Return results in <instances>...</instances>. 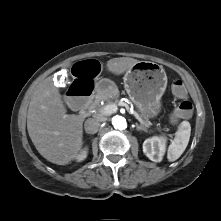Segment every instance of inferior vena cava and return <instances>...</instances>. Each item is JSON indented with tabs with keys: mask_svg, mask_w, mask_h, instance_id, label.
Returning <instances> with one entry per match:
<instances>
[{
	"mask_svg": "<svg viewBox=\"0 0 221 221\" xmlns=\"http://www.w3.org/2000/svg\"><path fill=\"white\" fill-rule=\"evenodd\" d=\"M101 125V120L96 118H89L85 121L84 128L85 131L89 134L96 133Z\"/></svg>",
	"mask_w": 221,
	"mask_h": 221,
	"instance_id": "1",
	"label": "inferior vena cava"
}]
</instances>
